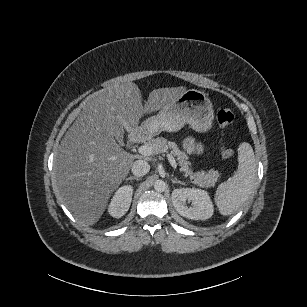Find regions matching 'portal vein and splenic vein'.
<instances>
[{"label": "portal vein and splenic vein", "instance_id": "portal-vein-and-splenic-vein-1", "mask_svg": "<svg viewBox=\"0 0 307 307\" xmlns=\"http://www.w3.org/2000/svg\"><path fill=\"white\" fill-rule=\"evenodd\" d=\"M139 152L142 154V155H145V156H154L157 154L156 150L154 147L152 146H148V145H143L140 147L139 149ZM163 155H165L167 157V159L169 160L170 164L172 166H175V159L173 157V155L167 151L163 152Z\"/></svg>", "mask_w": 307, "mask_h": 307}]
</instances>
